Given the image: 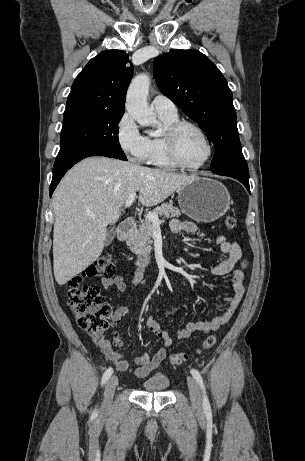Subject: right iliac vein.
I'll list each match as a JSON object with an SVG mask.
<instances>
[{
	"instance_id": "1",
	"label": "right iliac vein",
	"mask_w": 305,
	"mask_h": 461,
	"mask_svg": "<svg viewBox=\"0 0 305 461\" xmlns=\"http://www.w3.org/2000/svg\"><path fill=\"white\" fill-rule=\"evenodd\" d=\"M117 385H118V378L116 376H112L107 381V384L105 386V392H104V407L110 406Z\"/></svg>"
}]
</instances>
